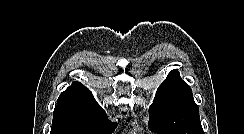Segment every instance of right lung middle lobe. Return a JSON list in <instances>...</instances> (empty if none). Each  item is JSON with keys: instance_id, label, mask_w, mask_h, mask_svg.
Wrapping results in <instances>:
<instances>
[{"instance_id": "obj_1", "label": "right lung middle lobe", "mask_w": 244, "mask_h": 134, "mask_svg": "<svg viewBox=\"0 0 244 134\" xmlns=\"http://www.w3.org/2000/svg\"><path fill=\"white\" fill-rule=\"evenodd\" d=\"M115 127L108 118L53 117L50 134H111Z\"/></svg>"}]
</instances>
